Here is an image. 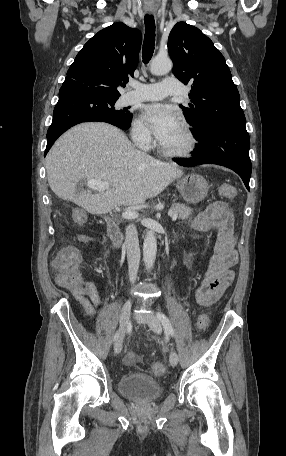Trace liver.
I'll return each mask as SVG.
<instances>
[{
  "instance_id": "1",
  "label": "liver",
  "mask_w": 286,
  "mask_h": 456,
  "mask_svg": "<svg viewBox=\"0 0 286 456\" xmlns=\"http://www.w3.org/2000/svg\"><path fill=\"white\" fill-rule=\"evenodd\" d=\"M46 172L59 198L91 214L142 204L183 175L177 165L137 150L120 129L98 122L65 132L46 157ZM85 179L107 182L110 188L95 194L78 189L79 181Z\"/></svg>"
}]
</instances>
